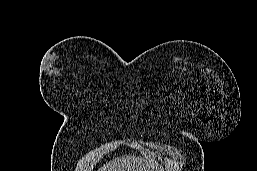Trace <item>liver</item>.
Segmentation results:
<instances>
[{
    "instance_id": "obj_1",
    "label": "liver",
    "mask_w": 257,
    "mask_h": 171,
    "mask_svg": "<svg viewBox=\"0 0 257 171\" xmlns=\"http://www.w3.org/2000/svg\"><path fill=\"white\" fill-rule=\"evenodd\" d=\"M98 171H158L156 162L148 158L122 156L104 164Z\"/></svg>"
}]
</instances>
